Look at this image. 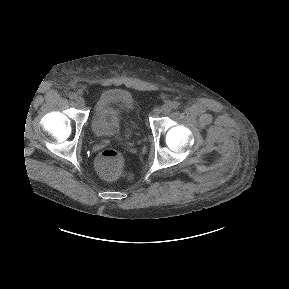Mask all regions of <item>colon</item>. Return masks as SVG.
<instances>
[{"mask_svg": "<svg viewBox=\"0 0 289 289\" xmlns=\"http://www.w3.org/2000/svg\"><path fill=\"white\" fill-rule=\"evenodd\" d=\"M96 167L103 177L110 180L117 179L123 174L124 157L116 149H104L97 157Z\"/></svg>", "mask_w": 289, "mask_h": 289, "instance_id": "obj_1", "label": "colon"}]
</instances>
